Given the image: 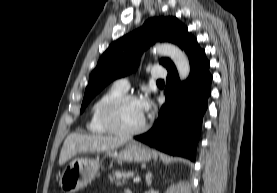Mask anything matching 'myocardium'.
<instances>
[{"label":"myocardium","mask_w":277,"mask_h":193,"mask_svg":"<svg viewBox=\"0 0 277 193\" xmlns=\"http://www.w3.org/2000/svg\"><path fill=\"white\" fill-rule=\"evenodd\" d=\"M129 100H138V97L134 94L123 93L111 98L104 104L101 111V119L109 133L121 137H130L140 134L147 129L148 122L146 119L139 127L134 129L126 130L119 126L118 110L123 103Z\"/></svg>","instance_id":"f54148a6"}]
</instances>
